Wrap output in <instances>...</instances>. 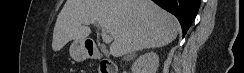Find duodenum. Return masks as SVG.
<instances>
[{"label":"duodenum","instance_id":"obj_1","mask_svg":"<svg viewBox=\"0 0 244 73\" xmlns=\"http://www.w3.org/2000/svg\"><path fill=\"white\" fill-rule=\"evenodd\" d=\"M85 53L89 59H102L100 73H116L115 65L103 59V50L102 47L98 44H86Z\"/></svg>","mask_w":244,"mask_h":73}]
</instances>
